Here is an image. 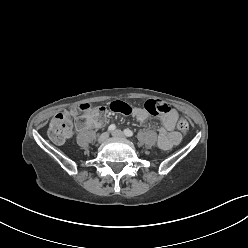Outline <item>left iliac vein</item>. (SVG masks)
Masks as SVG:
<instances>
[{
	"label": "left iliac vein",
	"instance_id": "left-iliac-vein-1",
	"mask_svg": "<svg viewBox=\"0 0 248 248\" xmlns=\"http://www.w3.org/2000/svg\"><path fill=\"white\" fill-rule=\"evenodd\" d=\"M112 136L116 137V138H121V139H125L126 136L124 135V133L121 130H115L112 132Z\"/></svg>",
	"mask_w": 248,
	"mask_h": 248
}]
</instances>
